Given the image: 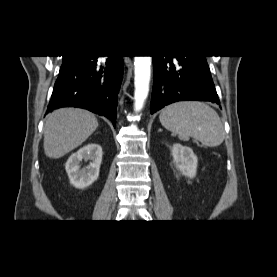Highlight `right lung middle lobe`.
Listing matches in <instances>:
<instances>
[{
  "mask_svg": "<svg viewBox=\"0 0 277 277\" xmlns=\"http://www.w3.org/2000/svg\"><path fill=\"white\" fill-rule=\"evenodd\" d=\"M74 57L72 56H64L63 58V63H62V66L61 68H63L64 66H66L70 61L73 60Z\"/></svg>",
  "mask_w": 277,
  "mask_h": 277,
  "instance_id": "obj_1",
  "label": "right lung middle lobe"
}]
</instances>
